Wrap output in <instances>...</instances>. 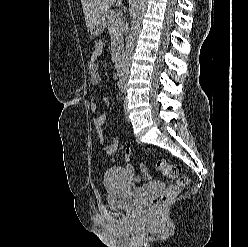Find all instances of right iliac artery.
Masks as SVG:
<instances>
[{"label": "right iliac artery", "instance_id": "right-iliac-artery-1", "mask_svg": "<svg viewBox=\"0 0 248 247\" xmlns=\"http://www.w3.org/2000/svg\"><path fill=\"white\" fill-rule=\"evenodd\" d=\"M121 92H123V87L120 88Z\"/></svg>", "mask_w": 248, "mask_h": 247}]
</instances>
